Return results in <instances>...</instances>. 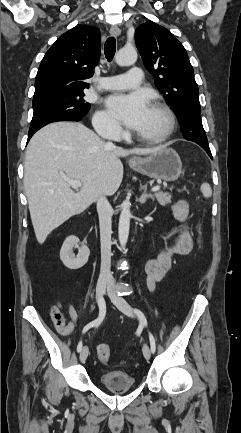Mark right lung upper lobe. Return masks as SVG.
Here are the masks:
<instances>
[{
	"label": "right lung upper lobe",
	"instance_id": "obj_1",
	"mask_svg": "<svg viewBox=\"0 0 241 433\" xmlns=\"http://www.w3.org/2000/svg\"><path fill=\"white\" fill-rule=\"evenodd\" d=\"M100 56V31L77 25L46 52L35 79L33 97L55 92H83Z\"/></svg>",
	"mask_w": 241,
	"mask_h": 433
}]
</instances>
